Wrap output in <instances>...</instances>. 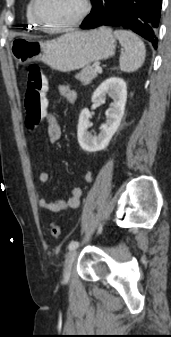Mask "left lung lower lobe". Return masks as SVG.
<instances>
[{"mask_svg": "<svg viewBox=\"0 0 171 337\" xmlns=\"http://www.w3.org/2000/svg\"><path fill=\"white\" fill-rule=\"evenodd\" d=\"M91 13L81 24L82 29L118 26L130 29L152 42L156 37L161 16L162 0H93Z\"/></svg>", "mask_w": 171, "mask_h": 337, "instance_id": "left-lung-lower-lobe-1", "label": "left lung lower lobe"}]
</instances>
